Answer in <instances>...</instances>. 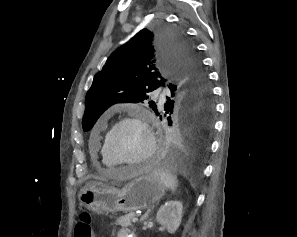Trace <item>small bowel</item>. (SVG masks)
<instances>
[{
    "mask_svg": "<svg viewBox=\"0 0 297 237\" xmlns=\"http://www.w3.org/2000/svg\"><path fill=\"white\" fill-rule=\"evenodd\" d=\"M118 237H132L127 228H121L118 232Z\"/></svg>",
    "mask_w": 297,
    "mask_h": 237,
    "instance_id": "obj_1",
    "label": "small bowel"
}]
</instances>
